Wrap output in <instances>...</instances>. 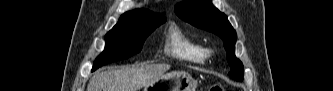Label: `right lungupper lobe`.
Returning <instances> with one entry per match:
<instances>
[{"label": "right lung upper lobe", "instance_id": "obj_1", "mask_svg": "<svg viewBox=\"0 0 333 91\" xmlns=\"http://www.w3.org/2000/svg\"><path fill=\"white\" fill-rule=\"evenodd\" d=\"M165 18L160 14H154L153 12L145 9H135L133 11H128L124 13L119 22L116 25H121L132 21H149L153 19ZM166 19V18H165Z\"/></svg>", "mask_w": 333, "mask_h": 91}]
</instances>
